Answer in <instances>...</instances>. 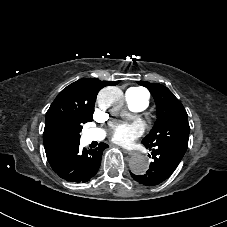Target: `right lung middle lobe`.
Instances as JSON below:
<instances>
[{
    "label": "right lung middle lobe",
    "instance_id": "right-lung-middle-lobe-1",
    "mask_svg": "<svg viewBox=\"0 0 227 227\" xmlns=\"http://www.w3.org/2000/svg\"><path fill=\"white\" fill-rule=\"evenodd\" d=\"M93 112L94 105L62 102L46 117L44 134L61 148L78 144L82 124L92 121Z\"/></svg>",
    "mask_w": 227,
    "mask_h": 227
}]
</instances>
